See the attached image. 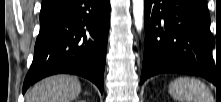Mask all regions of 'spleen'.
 <instances>
[{
  "mask_svg": "<svg viewBox=\"0 0 221 102\" xmlns=\"http://www.w3.org/2000/svg\"><path fill=\"white\" fill-rule=\"evenodd\" d=\"M170 95L180 102H210L212 95L207 86L195 78L180 77L169 85Z\"/></svg>",
  "mask_w": 221,
  "mask_h": 102,
  "instance_id": "3e777b00",
  "label": "spleen"
}]
</instances>
